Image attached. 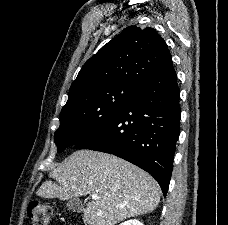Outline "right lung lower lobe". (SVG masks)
I'll return each mask as SVG.
<instances>
[{"mask_svg":"<svg viewBox=\"0 0 228 225\" xmlns=\"http://www.w3.org/2000/svg\"><path fill=\"white\" fill-rule=\"evenodd\" d=\"M179 97L170 61L74 148L110 153L135 164L157 180L166 196L180 133Z\"/></svg>","mask_w":228,"mask_h":225,"instance_id":"right-lung-lower-lobe-1","label":"right lung lower lobe"}]
</instances>
